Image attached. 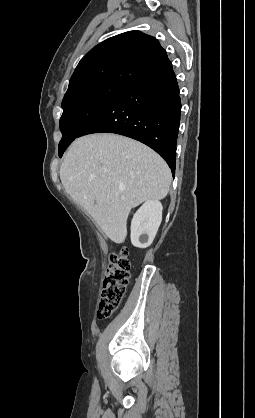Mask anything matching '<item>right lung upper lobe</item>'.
Segmentation results:
<instances>
[{"label": "right lung upper lobe", "mask_w": 255, "mask_h": 418, "mask_svg": "<svg viewBox=\"0 0 255 418\" xmlns=\"http://www.w3.org/2000/svg\"><path fill=\"white\" fill-rule=\"evenodd\" d=\"M171 66L156 38L140 31L125 32L101 42L80 60L66 93L96 81L129 85Z\"/></svg>", "instance_id": "obj_1"}]
</instances>
